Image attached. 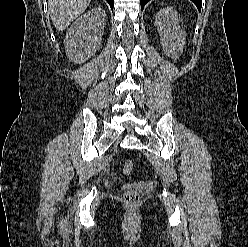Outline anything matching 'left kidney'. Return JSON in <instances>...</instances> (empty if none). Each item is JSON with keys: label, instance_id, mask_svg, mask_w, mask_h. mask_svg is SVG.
I'll list each match as a JSON object with an SVG mask.
<instances>
[{"label": "left kidney", "instance_id": "5707ae66", "mask_svg": "<svg viewBox=\"0 0 248 247\" xmlns=\"http://www.w3.org/2000/svg\"><path fill=\"white\" fill-rule=\"evenodd\" d=\"M164 53L177 58L185 45L186 34L179 26L178 14L172 7L160 10L155 18Z\"/></svg>", "mask_w": 248, "mask_h": 247}]
</instances>
